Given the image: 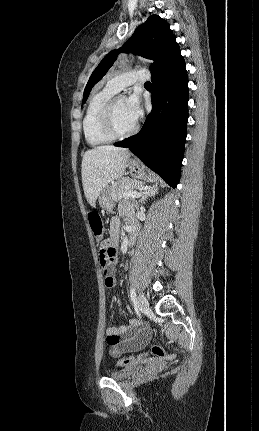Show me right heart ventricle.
I'll return each instance as SVG.
<instances>
[{
  "mask_svg": "<svg viewBox=\"0 0 259 431\" xmlns=\"http://www.w3.org/2000/svg\"><path fill=\"white\" fill-rule=\"evenodd\" d=\"M116 92L109 87H104L100 91L94 93L87 104L83 121L84 138L88 145L92 147H99L111 143L114 139L108 136L102 129L100 114L105 103Z\"/></svg>",
  "mask_w": 259,
  "mask_h": 431,
  "instance_id": "obj_1",
  "label": "right heart ventricle"
}]
</instances>
